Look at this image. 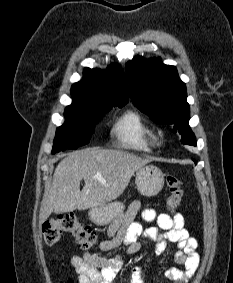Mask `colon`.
<instances>
[{"instance_id": "5ec220e1", "label": "colon", "mask_w": 233, "mask_h": 283, "mask_svg": "<svg viewBox=\"0 0 233 283\" xmlns=\"http://www.w3.org/2000/svg\"><path fill=\"white\" fill-rule=\"evenodd\" d=\"M166 185L169 190L166 206L169 211L173 212L178 208L182 199V182L176 176L167 175ZM42 233L44 242L48 246L57 243L64 234L70 235L82 249L93 247L97 241L95 230L83 224L73 214H63L47 220L42 226ZM67 283H73V281L69 280Z\"/></svg>"}]
</instances>
